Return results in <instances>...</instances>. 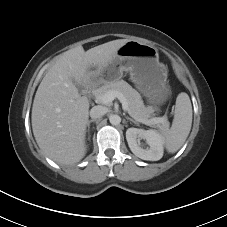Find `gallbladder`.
I'll return each mask as SVG.
<instances>
[{
	"label": "gallbladder",
	"mask_w": 227,
	"mask_h": 227,
	"mask_svg": "<svg viewBox=\"0 0 227 227\" xmlns=\"http://www.w3.org/2000/svg\"><path fill=\"white\" fill-rule=\"evenodd\" d=\"M74 83H75L77 89H78L80 92H82V91H83V86L80 85V84H78V83H76V82H74Z\"/></svg>",
	"instance_id": "obj_1"
}]
</instances>
